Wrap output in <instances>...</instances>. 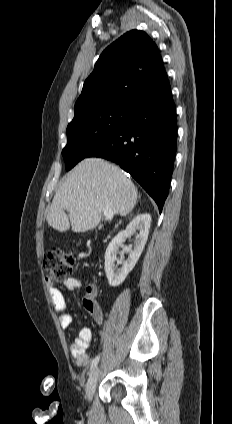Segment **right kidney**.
Instances as JSON below:
<instances>
[{
	"label": "right kidney",
	"mask_w": 232,
	"mask_h": 424,
	"mask_svg": "<svg viewBox=\"0 0 232 424\" xmlns=\"http://www.w3.org/2000/svg\"><path fill=\"white\" fill-rule=\"evenodd\" d=\"M151 220V216L148 213L137 215L126 229L118 233L109 243L105 252V273L110 286L116 287L122 284L136 265L147 242ZM135 232H137V236L132 250L130 247L124 246L123 243ZM119 247L123 249V252L129 254L128 259L121 268H117V265H115V261H118Z\"/></svg>",
	"instance_id": "ca27d5eb"
}]
</instances>
